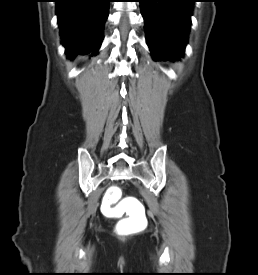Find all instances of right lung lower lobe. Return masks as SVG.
<instances>
[{"label":"right lung lower lobe","instance_id":"98d812e1","mask_svg":"<svg viewBox=\"0 0 258 275\" xmlns=\"http://www.w3.org/2000/svg\"><path fill=\"white\" fill-rule=\"evenodd\" d=\"M61 42L68 57L96 55L109 15V0H55Z\"/></svg>","mask_w":258,"mask_h":275}]
</instances>
